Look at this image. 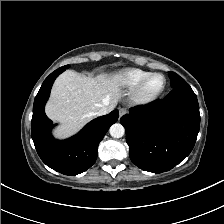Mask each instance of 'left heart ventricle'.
<instances>
[{
	"mask_svg": "<svg viewBox=\"0 0 224 224\" xmlns=\"http://www.w3.org/2000/svg\"><path fill=\"white\" fill-rule=\"evenodd\" d=\"M164 83V77L161 75L151 77L144 87V94L150 96L158 93L163 88Z\"/></svg>",
	"mask_w": 224,
	"mask_h": 224,
	"instance_id": "1",
	"label": "left heart ventricle"
}]
</instances>
